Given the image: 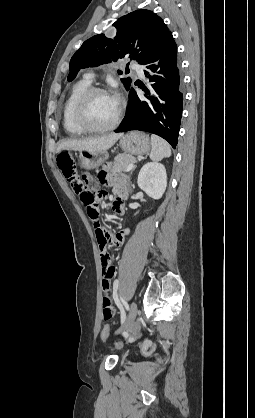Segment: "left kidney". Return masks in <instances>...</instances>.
Segmentation results:
<instances>
[{
    "mask_svg": "<svg viewBox=\"0 0 255 418\" xmlns=\"http://www.w3.org/2000/svg\"><path fill=\"white\" fill-rule=\"evenodd\" d=\"M138 186L151 198L160 199L167 187V175L164 165L157 162L146 163L140 170Z\"/></svg>",
    "mask_w": 255,
    "mask_h": 418,
    "instance_id": "5707ae66",
    "label": "left kidney"
}]
</instances>
